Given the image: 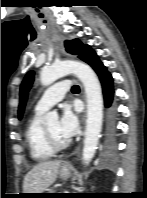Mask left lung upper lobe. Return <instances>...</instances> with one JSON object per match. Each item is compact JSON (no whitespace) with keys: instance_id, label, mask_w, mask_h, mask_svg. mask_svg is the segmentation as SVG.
I'll return each instance as SVG.
<instances>
[{"instance_id":"5c2ea615","label":"left lung upper lobe","mask_w":147,"mask_h":198,"mask_svg":"<svg viewBox=\"0 0 147 198\" xmlns=\"http://www.w3.org/2000/svg\"><path fill=\"white\" fill-rule=\"evenodd\" d=\"M66 50L72 54H78V57L83 60L86 54L87 49L89 48L88 45H83L78 39L75 40H66L65 41ZM34 79V72L30 71L25 76L20 89V105L18 109V116L19 119L22 118L24 107L26 104L28 91L31 88Z\"/></svg>"}]
</instances>
